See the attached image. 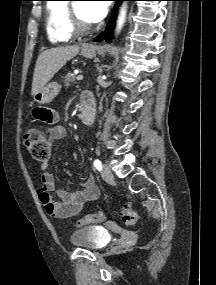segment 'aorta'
<instances>
[{
	"mask_svg": "<svg viewBox=\"0 0 216 285\" xmlns=\"http://www.w3.org/2000/svg\"><path fill=\"white\" fill-rule=\"evenodd\" d=\"M125 18H126V2H123L121 9H120L118 21H117V29H116L117 32L122 28L125 22Z\"/></svg>",
	"mask_w": 216,
	"mask_h": 285,
	"instance_id": "obj_1",
	"label": "aorta"
}]
</instances>
